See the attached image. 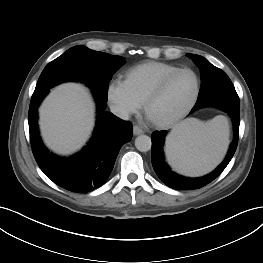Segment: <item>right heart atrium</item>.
<instances>
[{"label":"right heart atrium","mask_w":263,"mask_h":263,"mask_svg":"<svg viewBox=\"0 0 263 263\" xmlns=\"http://www.w3.org/2000/svg\"><path fill=\"white\" fill-rule=\"evenodd\" d=\"M106 97L112 111L124 119L138 112L141 107L125 83L119 79L112 80L107 85Z\"/></svg>","instance_id":"right-heart-atrium-1"}]
</instances>
